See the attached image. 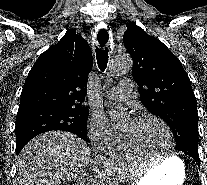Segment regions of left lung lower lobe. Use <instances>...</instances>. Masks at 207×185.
I'll return each mask as SVG.
<instances>
[{
    "instance_id": "obj_1",
    "label": "left lung lower lobe",
    "mask_w": 207,
    "mask_h": 185,
    "mask_svg": "<svg viewBox=\"0 0 207 185\" xmlns=\"http://www.w3.org/2000/svg\"><path fill=\"white\" fill-rule=\"evenodd\" d=\"M188 155H190V156L197 162V164L199 165V161H200V159H199V154H196V153H190V154H188Z\"/></svg>"
}]
</instances>
